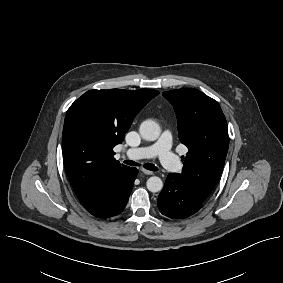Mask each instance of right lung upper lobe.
<instances>
[{
    "mask_svg": "<svg viewBox=\"0 0 283 283\" xmlns=\"http://www.w3.org/2000/svg\"><path fill=\"white\" fill-rule=\"evenodd\" d=\"M156 90H90L68 109L62 135L63 161L70 183L83 204L93 208L105 184L127 166L114 158L135 116Z\"/></svg>",
    "mask_w": 283,
    "mask_h": 283,
    "instance_id": "1",
    "label": "right lung upper lobe"
}]
</instances>
